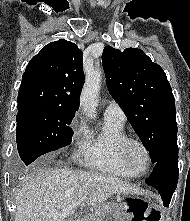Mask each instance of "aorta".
Segmentation results:
<instances>
[{
	"label": "aorta",
	"instance_id": "762f6f07",
	"mask_svg": "<svg viewBox=\"0 0 190 221\" xmlns=\"http://www.w3.org/2000/svg\"><path fill=\"white\" fill-rule=\"evenodd\" d=\"M101 79V71H93L86 77L85 84L81 92L80 105L86 116L89 118L96 117Z\"/></svg>",
	"mask_w": 190,
	"mask_h": 221
}]
</instances>
